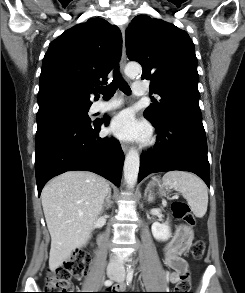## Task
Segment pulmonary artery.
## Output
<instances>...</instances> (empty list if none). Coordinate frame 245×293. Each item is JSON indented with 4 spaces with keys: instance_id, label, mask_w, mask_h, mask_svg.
Wrapping results in <instances>:
<instances>
[{
    "instance_id": "1",
    "label": "pulmonary artery",
    "mask_w": 245,
    "mask_h": 293,
    "mask_svg": "<svg viewBox=\"0 0 245 293\" xmlns=\"http://www.w3.org/2000/svg\"><path fill=\"white\" fill-rule=\"evenodd\" d=\"M133 92L138 96L146 95L148 93V91L143 83H135L133 85ZM121 104H122V102L119 99H112L107 102L100 101L95 104V110L101 111V112H106V111L115 109L117 107H120Z\"/></svg>"
}]
</instances>
